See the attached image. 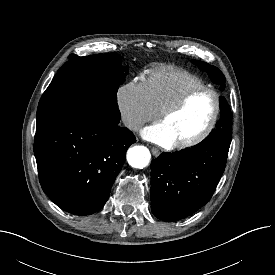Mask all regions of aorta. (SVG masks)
Segmentation results:
<instances>
[{"mask_svg": "<svg viewBox=\"0 0 275 275\" xmlns=\"http://www.w3.org/2000/svg\"><path fill=\"white\" fill-rule=\"evenodd\" d=\"M151 154L145 146H133L127 152V161L134 168H145L150 162Z\"/></svg>", "mask_w": 275, "mask_h": 275, "instance_id": "obj_1", "label": "aorta"}]
</instances>
